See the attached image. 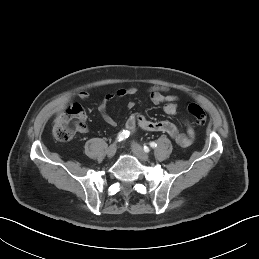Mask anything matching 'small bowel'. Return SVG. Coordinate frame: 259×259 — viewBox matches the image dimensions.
I'll return each instance as SVG.
<instances>
[{
	"label": "small bowel",
	"instance_id": "small-bowel-1",
	"mask_svg": "<svg viewBox=\"0 0 259 259\" xmlns=\"http://www.w3.org/2000/svg\"><path fill=\"white\" fill-rule=\"evenodd\" d=\"M137 92V88L134 86L119 88L112 93L107 94L101 103L98 110L102 119L110 126H115L116 121L109 115L107 106L113 98H123L129 95H133ZM147 94L151 101L155 104L163 103V110L168 116H175L178 111L177 100L178 97L168 87L162 85H151L147 88ZM80 100H87L90 97L89 92L82 90L77 94ZM139 127L148 132H160L167 134L178 146L189 147L194 140V129L189 121L185 122V132H180L177 126L168 120L162 121H150L146 119L142 114H132L128 117L125 123L126 131L129 134L135 132ZM81 130L85 132L86 126Z\"/></svg>",
	"mask_w": 259,
	"mask_h": 259
}]
</instances>
